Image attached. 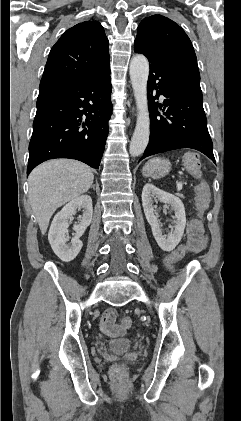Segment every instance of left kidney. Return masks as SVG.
I'll use <instances>...</instances> for the list:
<instances>
[{"label":"left kidney","mask_w":241,"mask_h":421,"mask_svg":"<svg viewBox=\"0 0 241 421\" xmlns=\"http://www.w3.org/2000/svg\"><path fill=\"white\" fill-rule=\"evenodd\" d=\"M157 200L170 205L175 211L174 229L167 238L163 235L159 219L154 214L153 204ZM142 206L157 244L163 251H172L179 244L186 225V214L182 201L175 195L160 190L152 184H146L142 191Z\"/></svg>","instance_id":"left-kidney-1"}]
</instances>
